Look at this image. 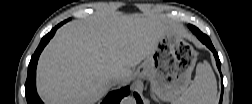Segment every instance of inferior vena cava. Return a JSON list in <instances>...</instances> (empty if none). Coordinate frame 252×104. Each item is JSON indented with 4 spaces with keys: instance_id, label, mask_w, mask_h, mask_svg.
Returning <instances> with one entry per match:
<instances>
[{
    "instance_id": "inferior-vena-cava-1",
    "label": "inferior vena cava",
    "mask_w": 252,
    "mask_h": 104,
    "mask_svg": "<svg viewBox=\"0 0 252 104\" xmlns=\"http://www.w3.org/2000/svg\"><path fill=\"white\" fill-rule=\"evenodd\" d=\"M120 81H121V76H119V75H113V76L110 78V83H111L112 85H116V84H118Z\"/></svg>"
}]
</instances>
